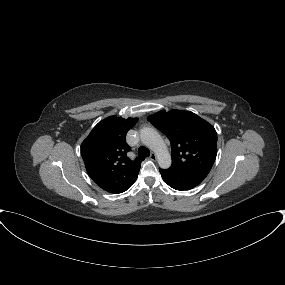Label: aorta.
<instances>
[{
	"label": "aorta",
	"mask_w": 285,
	"mask_h": 285,
	"mask_svg": "<svg viewBox=\"0 0 285 285\" xmlns=\"http://www.w3.org/2000/svg\"><path fill=\"white\" fill-rule=\"evenodd\" d=\"M140 138L144 145L153 150L159 166L168 169L172 162L171 156L161 135L154 128L145 127L140 131Z\"/></svg>",
	"instance_id": "1"
}]
</instances>
